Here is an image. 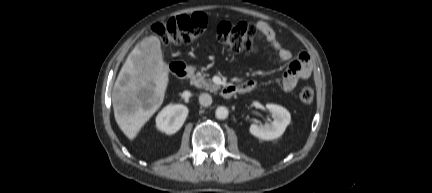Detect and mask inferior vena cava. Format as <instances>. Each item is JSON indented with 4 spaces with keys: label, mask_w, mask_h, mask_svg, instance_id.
<instances>
[{
    "label": "inferior vena cava",
    "mask_w": 432,
    "mask_h": 193,
    "mask_svg": "<svg viewBox=\"0 0 432 193\" xmlns=\"http://www.w3.org/2000/svg\"><path fill=\"white\" fill-rule=\"evenodd\" d=\"M199 102L204 107L210 106L212 103V97L208 93H202L199 96Z\"/></svg>",
    "instance_id": "obj_1"
}]
</instances>
